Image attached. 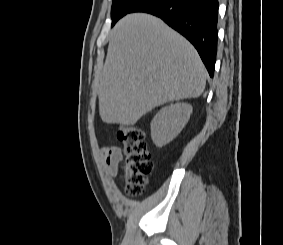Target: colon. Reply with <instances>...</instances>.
Wrapping results in <instances>:
<instances>
[{"label":"colon","mask_w":283,"mask_h":245,"mask_svg":"<svg viewBox=\"0 0 283 245\" xmlns=\"http://www.w3.org/2000/svg\"><path fill=\"white\" fill-rule=\"evenodd\" d=\"M118 139L123 144L121 167L125 190L128 195H140L152 170L151 156L147 148L144 132L137 126H122Z\"/></svg>","instance_id":"1"}]
</instances>
